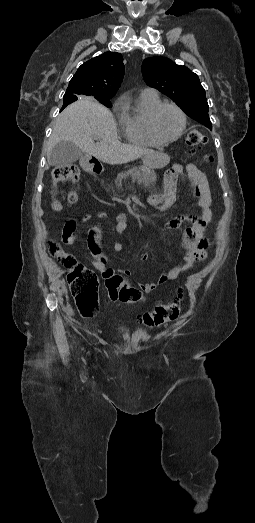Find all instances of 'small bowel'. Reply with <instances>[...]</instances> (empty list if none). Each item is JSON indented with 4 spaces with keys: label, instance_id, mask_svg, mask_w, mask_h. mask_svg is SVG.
Here are the masks:
<instances>
[{
    "label": "small bowel",
    "instance_id": "obj_1",
    "mask_svg": "<svg viewBox=\"0 0 255 523\" xmlns=\"http://www.w3.org/2000/svg\"><path fill=\"white\" fill-rule=\"evenodd\" d=\"M189 182L194 187L195 196L197 197V205L200 208V214L198 215H180L170 219L166 223V228L169 230L178 229L184 222H188L191 225L187 227L182 236V243L186 249L182 261L174 267L165 270L161 275L154 281L148 283H140L139 288L145 293H151L156 290L159 286L175 280L184 271L190 269L196 261L203 260L206 257V251L209 246V241L205 236L206 226L212 221V197L207 178L203 172H201L194 164H188L185 169H179ZM174 200V193L170 191L168 195L161 196L156 195L151 197L150 203L156 208H162L168 206ZM97 217L99 219H105L107 214L99 212ZM92 215L86 214L83 217L84 222L92 220ZM127 228V215L120 214L117 216V224L115 226V232L121 235ZM76 222L69 220L63 228L62 241L67 245H72L77 240ZM102 232L101 228L97 225L89 229L88 231V248L91 253L90 261L94 268L101 274L103 278H107L113 275L114 270L108 268V258L104 254L101 248ZM115 251H122L124 244L121 241H117L114 244ZM149 255L147 253L142 255V260H147ZM120 273L129 276L128 270H120Z\"/></svg>",
    "mask_w": 255,
    "mask_h": 523
}]
</instances>
